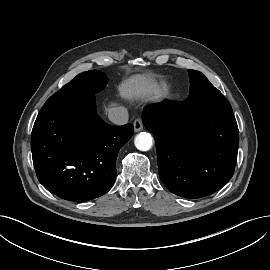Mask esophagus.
I'll list each match as a JSON object with an SVG mask.
<instances>
[{
  "label": "esophagus",
  "instance_id": "esophagus-1",
  "mask_svg": "<svg viewBox=\"0 0 270 270\" xmlns=\"http://www.w3.org/2000/svg\"><path fill=\"white\" fill-rule=\"evenodd\" d=\"M133 126H134V131H135V132H139V131L143 130V123H142V120H141V119H136V120L133 122Z\"/></svg>",
  "mask_w": 270,
  "mask_h": 270
}]
</instances>
